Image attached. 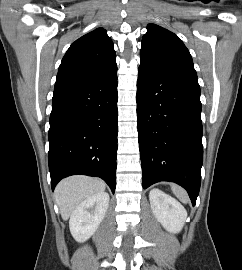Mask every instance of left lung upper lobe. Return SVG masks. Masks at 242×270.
Listing matches in <instances>:
<instances>
[{
  "mask_svg": "<svg viewBox=\"0 0 242 270\" xmlns=\"http://www.w3.org/2000/svg\"><path fill=\"white\" fill-rule=\"evenodd\" d=\"M140 60L146 66L197 81L189 50L174 33L158 25L147 26Z\"/></svg>",
  "mask_w": 242,
  "mask_h": 270,
  "instance_id": "1",
  "label": "left lung upper lobe"
}]
</instances>
